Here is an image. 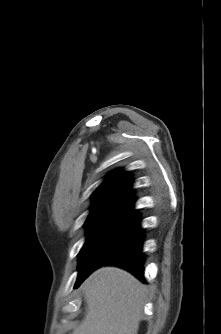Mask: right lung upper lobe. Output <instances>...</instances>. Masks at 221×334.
<instances>
[{
  "label": "right lung upper lobe",
  "instance_id": "1",
  "mask_svg": "<svg viewBox=\"0 0 221 334\" xmlns=\"http://www.w3.org/2000/svg\"><path fill=\"white\" fill-rule=\"evenodd\" d=\"M131 176L127 172L113 171L93 194V205L88 217L99 216H135L133 209L135 198L130 189Z\"/></svg>",
  "mask_w": 221,
  "mask_h": 334
}]
</instances>
